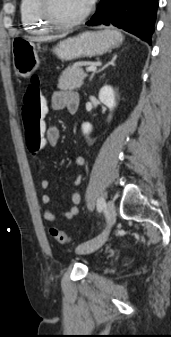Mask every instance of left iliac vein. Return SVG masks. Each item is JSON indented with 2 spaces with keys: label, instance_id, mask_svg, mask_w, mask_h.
I'll list each match as a JSON object with an SVG mask.
<instances>
[{
  "label": "left iliac vein",
  "instance_id": "left-iliac-vein-1",
  "mask_svg": "<svg viewBox=\"0 0 171 337\" xmlns=\"http://www.w3.org/2000/svg\"><path fill=\"white\" fill-rule=\"evenodd\" d=\"M106 215H107V227L106 230L100 234L99 236L86 241L84 243H82L81 245H79L76 248V252L78 254H89L92 253L96 250H98L107 240L109 231L111 229V227L113 226V224L115 223V219H116V208H115V204L113 201H108L106 204Z\"/></svg>",
  "mask_w": 171,
  "mask_h": 337
}]
</instances>
